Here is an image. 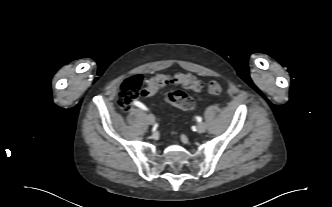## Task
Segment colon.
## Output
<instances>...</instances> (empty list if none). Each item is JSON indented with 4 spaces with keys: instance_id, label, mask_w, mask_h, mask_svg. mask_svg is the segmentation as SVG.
<instances>
[{
    "instance_id": "5ec220e1",
    "label": "colon",
    "mask_w": 332,
    "mask_h": 207,
    "mask_svg": "<svg viewBox=\"0 0 332 207\" xmlns=\"http://www.w3.org/2000/svg\"><path fill=\"white\" fill-rule=\"evenodd\" d=\"M143 77L135 75L126 79L119 88L117 104L122 110H130L133 101L139 97L153 96L157 91L167 85H181L185 89L195 92L203 90V84L194 75L184 73H160L151 78L145 87L142 86ZM207 92L219 95L223 92V86L212 81L207 86ZM165 100L172 106L181 110H191L194 107L193 98L184 90L174 89L165 94Z\"/></svg>"
}]
</instances>
